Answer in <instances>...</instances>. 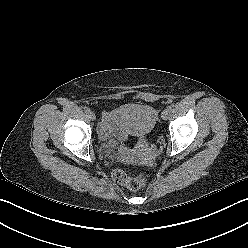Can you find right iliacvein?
I'll use <instances>...</instances> for the list:
<instances>
[{
  "label": "right iliac vein",
  "instance_id": "obj_1",
  "mask_svg": "<svg viewBox=\"0 0 248 248\" xmlns=\"http://www.w3.org/2000/svg\"><path fill=\"white\" fill-rule=\"evenodd\" d=\"M88 117H89L90 120H92V121H95V119H96V115H95L94 112H90V113L88 114Z\"/></svg>",
  "mask_w": 248,
  "mask_h": 248
}]
</instances>
